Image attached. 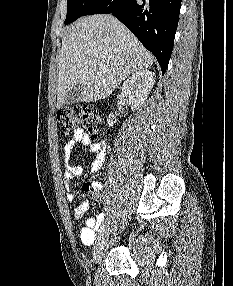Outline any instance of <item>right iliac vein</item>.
<instances>
[{"instance_id": "63e3f726", "label": "right iliac vein", "mask_w": 233, "mask_h": 286, "mask_svg": "<svg viewBox=\"0 0 233 286\" xmlns=\"http://www.w3.org/2000/svg\"><path fill=\"white\" fill-rule=\"evenodd\" d=\"M107 239H108V231L104 230L98 236L97 240L95 241L94 248H93V262L94 263L100 262Z\"/></svg>"}]
</instances>
